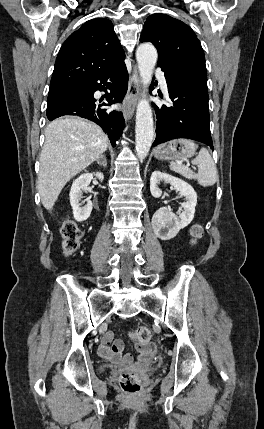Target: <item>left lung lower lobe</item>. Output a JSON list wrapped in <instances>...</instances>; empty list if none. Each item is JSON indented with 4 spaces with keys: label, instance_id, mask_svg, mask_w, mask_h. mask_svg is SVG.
<instances>
[{
    "label": "left lung lower lobe",
    "instance_id": "left-lung-lower-lobe-1",
    "mask_svg": "<svg viewBox=\"0 0 264 429\" xmlns=\"http://www.w3.org/2000/svg\"><path fill=\"white\" fill-rule=\"evenodd\" d=\"M158 66L165 73L172 105H154L157 124L153 146L176 138H188L203 142L213 149L207 88L167 64Z\"/></svg>",
    "mask_w": 264,
    "mask_h": 429
}]
</instances>
